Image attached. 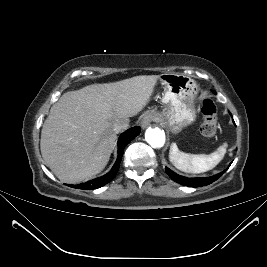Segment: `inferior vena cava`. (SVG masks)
I'll return each instance as SVG.
<instances>
[{
    "label": "inferior vena cava",
    "mask_w": 267,
    "mask_h": 267,
    "mask_svg": "<svg viewBox=\"0 0 267 267\" xmlns=\"http://www.w3.org/2000/svg\"><path fill=\"white\" fill-rule=\"evenodd\" d=\"M129 127L128 121H120L114 124L113 130L115 133L126 130Z\"/></svg>",
    "instance_id": "inferior-vena-cava-1"
}]
</instances>
